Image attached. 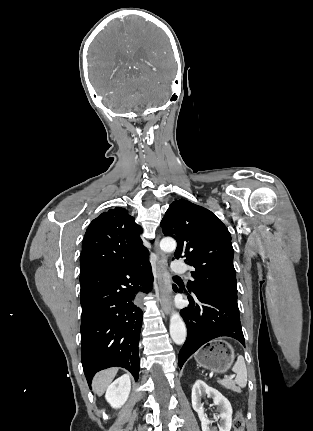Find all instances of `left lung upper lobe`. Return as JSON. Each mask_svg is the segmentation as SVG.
<instances>
[{"label": "left lung upper lobe", "mask_w": 313, "mask_h": 431, "mask_svg": "<svg viewBox=\"0 0 313 431\" xmlns=\"http://www.w3.org/2000/svg\"><path fill=\"white\" fill-rule=\"evenodd\" d=\"M165 236L177 241L175 258L196 270L189 293H216L237 299L231 235L211 211L185 199L174 201L161 221Z\"/></svg>", "instance_id": "1"}]
</instances>
